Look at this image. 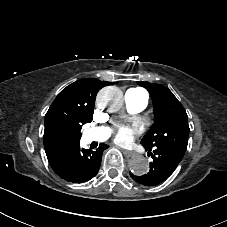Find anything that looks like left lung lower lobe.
Wrapping results in <instances>:
<instances>
[{
  "mask_svg": "<svg viewBox=\"0 0 227 227\" xmlns=\"http://www.w3.org/2000/svg\"><path fill=\"white\" fill-rule=\"evenodd\" d=\"M146 150L149 151L153 158L149 172L142 176H135L130 173L135 181L145 186H155L166 180L184 156L167 147L148 148Z\"/></svg>",
  "mask_w": 227,
  "mask_h": 227,
  "instance_id": "1",
  "label": "left lung lower lobe"
}]
</instances>
